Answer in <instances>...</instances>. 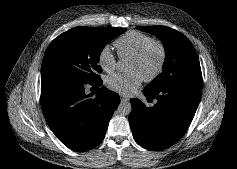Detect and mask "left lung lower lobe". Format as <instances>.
Listing matches in <instances>:
<instances>
[{
  "mask_svg": "<svg viewBox=\"0 0 237 169\" xmlns=\"http://www.w3.org/2000/svg\"><path fill=\"white\" fill-rule=\"evenodd\" d=\"M201 92L202 83L175 84L156 91L144 89L148 100H158L149 108L132 98L129 122L136 142L153 151L164 150L176 143L192 122Z\"/></svg>",
  "mask_w": 237,
  "mask_h": 169,
  "instance_id": "1",
  "label": "left lung lower lobe"
}]
</instances>
